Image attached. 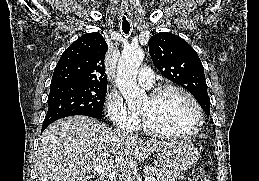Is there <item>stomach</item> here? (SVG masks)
<instances>
[{"mask_svg": "<svg viewBox=\"0 0 259 181\" xmlns=\"http://www.w3.org/2000/svg\"><path fill=\"white\" fill-rule=\"evenodd\" d=\"M199 156V150L193 144L176 141L167 144L159 151L158 161L164 169L183 172L194 166Z\"/></svg>", "mask_w": 259, "mask_h": 181, "instance_id": "1", "label": "stomach"}]
</instances>
